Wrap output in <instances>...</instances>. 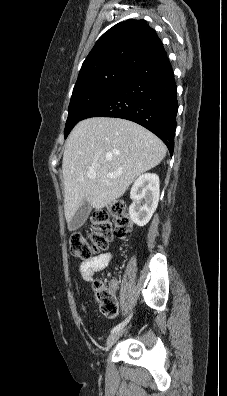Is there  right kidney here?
<instances>
[{"mask_svg":"<svg viewBox=\"0 0 227 396\" xmlns=\"http://www.w3.org/2000/svg\"><path fill=\"white\" fill-rule=\"evenodd\" d=\"M159 194V177L156 174H142L135 180L130 192L129 215L136 225L144 226L149 222L157 208Z\"/></svg>","mask_w":227,"mask_h":396,"instance_id":"1","label":"right kidney"}]
</instances>
